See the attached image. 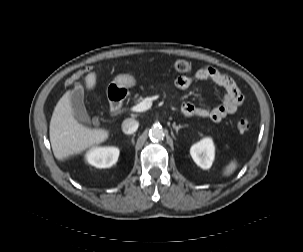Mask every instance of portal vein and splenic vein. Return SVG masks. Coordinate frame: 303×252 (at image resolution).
Segmentation results:
<instances>
[{
	"label": "portal vein and splenic vein",
	"mask_w": 303,
	"mask_h": 252,
	"mask_svg": "<svg viewBox=\"0 0 303 252\" xmlns=\"http://www.w3.org/2000/svg\"><path fill=\"white\" fill-rule=\"evenodd\" d=\"M151 106H152V98L147 97V98L143 99V101H141L137 105L131 107L130 110L132 112H144V111L150 109Z\"/></svg>",
	"instance_id": "18ae733b"
}]
</instances>
